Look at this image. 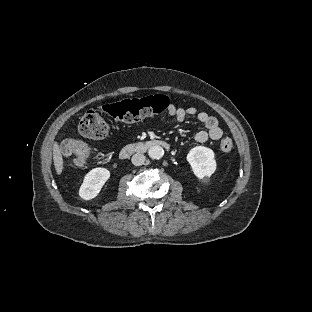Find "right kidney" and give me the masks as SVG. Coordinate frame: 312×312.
I'll return each mask as SVG.
<instances>
[{"label": "right kidney", "mask_w": 312, "mask_h": 312, "mask_svg": "<svg viewBox=\"0 0 312 312\" xmlns=\"http://www.w3.org/2000/svg\"><path fill=\"white\" fill-rule=\"evenodd\" d=\"M110 176V171L103 167L90 170L85 175L83 183L80 186L78 192L79 197L86 201L96 198Z\"/></svg>", "instance_id": "ca27d5eb"}]
</instances>
